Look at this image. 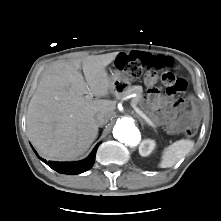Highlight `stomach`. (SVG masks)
Returning a JSON list of instances; mask_svg holds the SVG:
<instances>
[{
  "label": "stomach",
  "instance_id": "stomach-1",
  "mask_svg": "<svg viewBox=\"0 0 221 221\" xmlns=\"http://www.w3.org/2000/svg\"><path fill=\"white\" fill-rule=\"evenodd\" d=\"M110 79L112 91H114L116 95H123L124 92L130 88L131 83L129 79L120 71H115Z\"/></svg>",
  "mask_w": 221,
  "mask_h": 221
}]
</instances>
